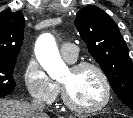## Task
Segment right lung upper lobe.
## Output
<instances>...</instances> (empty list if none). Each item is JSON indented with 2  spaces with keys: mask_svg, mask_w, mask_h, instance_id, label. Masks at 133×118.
Returning a JSON list of instances; mask_svg holds the SVG:
<instances>
[{
  "mask_svg": "<svg viewBox=\"0 0 133 118\" xmlns=\"http://www.w3.org/2000/svg\"><path fill=\"white\" fill-rule=\"evenodd\" d=\"M25 20L21 11L0 13V58L16 59L22 46Z\"/></svg>",
  "mask_w": 133,
  "mask_h": 118,
  "instance_id": "obj_1",
  "label": "right lung upper lobe"
}]
</instances>
